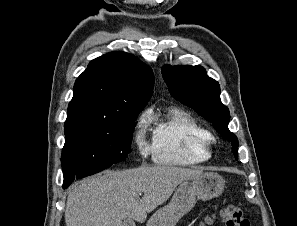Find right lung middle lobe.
I'll return each mask as SVG.
<instances>
[{
  "instance_id": "obj_1",
  "label": "right lung middle lobe",
  "mask_w": 297,
  "mask_h": 226,
  "mask_svg": "<svg viewBox=\"0 0 297 226\" xmlns=\"http://www.w3.org/2000/svg\"><path fill=\"white\" fill-rule=\"evenodd\" d=\"M143 106L128 107L114 122L72 120L65 122L61 163L64 178L90 169H106L126 159L131 148L135 119Z\"/></svg>"
}]
</instances>
